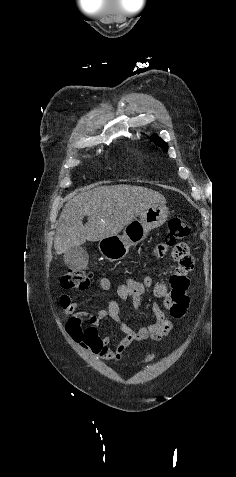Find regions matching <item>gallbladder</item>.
<instances>
[{
  "mask_svg": "<svg viewBox=\"0 0 236 477\" xmlns=\"http://www.w3.org/2000/svg\"><path fill=\"white\" fill-rule=\"evenodd\" d=\"M64 263L73 270L83 269L88 262V253L80 246L73 247L64 253Z\"/></svg>",
  "mask_w": 236,
  "mask_h": 477,
  "instance_id": "1",
  "label": "gallbladder"
}]
</instances>
